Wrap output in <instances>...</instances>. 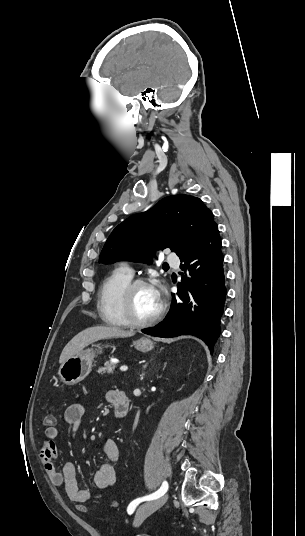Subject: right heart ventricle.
Segmentation results:
<instances>
[{"label":"right heart ventricle","instance_id":"e07e8e85","mask_svg":"<svg viewBox=\"0 0 305 536\" xmlns=\"http://www.w3.org/2000/svg\"><path fill=\"white\" fill-rule=\"evenodd\" d=\"M131 280L132 277L119 268L103 281L98 294L97 309L105 323L116 327L128 325L121 309V293Z\"/></svg>","mask_w":305,"mask_h":536}]
</instances>
